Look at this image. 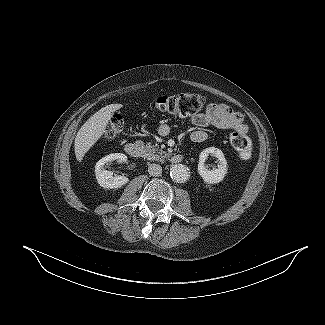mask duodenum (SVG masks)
I'll return each instance as SVG.
<instances>
[{"mask_svg":"<svg viewBox=\"0 0 325 325\" xmlns=\"http://www.w3.org/2000/svg\"><path fill=\"white\" fill-rule=\"evenodd\" d=\"M125 151L129 156H131L133 158L140 157L141 153H142V149H141L140 144L134 143V142L127 143L126 146H125ZM183 159H184V155L180 154V153L173 154L170 157V160L173 163H180V162L183 161Z\"/></svg>","mask_w":325,"mask_h":325,"instance_id":"410a0bca","label":"duodenum"}]
</instances>
